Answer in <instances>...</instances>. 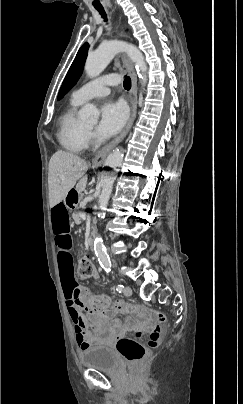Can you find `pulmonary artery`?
Here are the masks:
<instances>
[{
	"label": "pulmonary artery",
	"instance_id": "e3ab8cb5",
	"mask_svg": "<svg viewBox=\"0 0 243 404\" xmlns=\"http://www.w3.org/2000/svg\"><path fill=\"white\" fill-rule=\"evenodd\" d=\"M102 52V51H101ZM108 60H105L106 63ZM121 83V79L116 74L101 75L92 80L86 81L76 88L78 97L87 101L91 98L103 97L110 91L111 86Z\"/></svg>",
	"mask_w": 243,
	"mask_h": 404
}]
</instances>
